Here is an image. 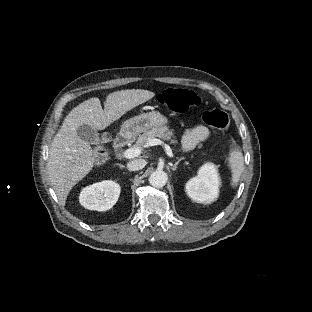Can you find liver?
<instances>
[{"label": "liver", "mask_w": 312, "mask_h": 312, "mask_svg": "<svg viewBox=\"0 0 312 312\" xmlns=\"http://www.w3.org/2000/svg\"><path fill=\"white\" fill-rule=\"evenodd\" d=\"M155 96L145 89H125L109 93L102 109L100 99L92 97L78 104L65 117L50 145L47 163L50 183L65 206L70 191L86 178L103 158L96 159L92 147L77 135L81 125L105 130L128 111Z\"/></svg>", "instance_id": "6515ba94"}]
</instances>
